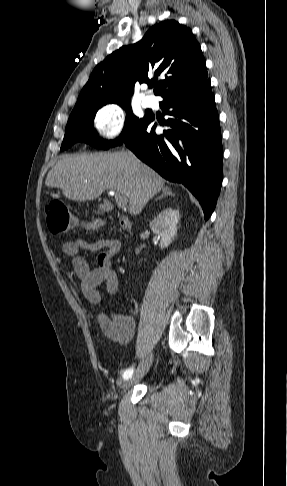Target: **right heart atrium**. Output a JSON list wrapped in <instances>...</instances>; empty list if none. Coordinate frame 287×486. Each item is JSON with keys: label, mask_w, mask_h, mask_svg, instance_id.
Here are the masks:
<instances>
[{"label": "right heart atrium", "mask_w": 287, "mask_h": 486, "mask_svg": "<svg viewBox=\"0 0 287 486\" xmlns=\"http://www.w3.org/2000/svg\"><path fill=\"white\" fill-rule=\"evenodd\" d=\"M92 123L102 137L107 140H114L124 130L125 117L118 105L106 104L96 111Z\"/></svg>", "instance_id": "d8ad5b80"}]
</instances>
